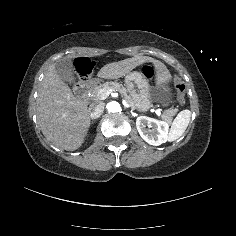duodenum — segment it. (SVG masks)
I'll use <instances>...</instances> for the list:
<instances>
[{
  "label": "duodenum",
  "mask_w": 236,
  "mask_h": 236,
  "mask_svg": "<svg viewBox=\"0 0 236 236\" xmlns=\"http://www.w3.org/2000/svg\"><path fill=\"white\" fill-rule=\"evenodd\" d=\"M97 83V79L89 73H84L76 85L75 92L81 99H85L89 90Z\"/></svg>",
  "instance_id": "obj_1"
}]
</instances>
